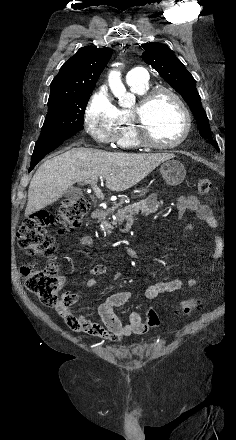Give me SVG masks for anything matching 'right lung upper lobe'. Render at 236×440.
<instances>
[{"mask_svg": "<svg viewBox=\"0 0 236 440\" xmlns=\"http://www.w3.org/2000/svg\"><path fill=\"white\" fill-rule=\"evenodd\" d=\"M112 55L110 48L82 47L60 68L51 82L48 103L70 100L92 93Z\"/></svg>", "mask_w": 236, "mask_h": 440, "instance_id": "1", "label": "right lung upper lobe"}]
</instances>
